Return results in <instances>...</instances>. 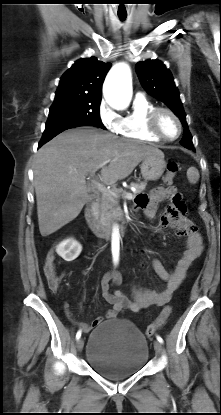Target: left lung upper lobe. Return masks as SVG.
Masks as SVG:
<instances>
[{
    "instance_id": "5c2ea615",
    "label": "left lung upper lobe",
    "mask_w": 221,
    "mask_h": 415,
    "mask_svg": "<svg viewBox=\"0 0 221 415\" xmlns=\"http://www.w3.org/2000/svg\"><path fill=\"white\" fill-rule=\"evenodd\" d=\"M136 72L143 88L150 95L165 103L179 117L185 128L180 143L184 147L194 150L179 91L175 86L171 72L159 60L138 62Z\"/></svg>"
}]
</instances>
